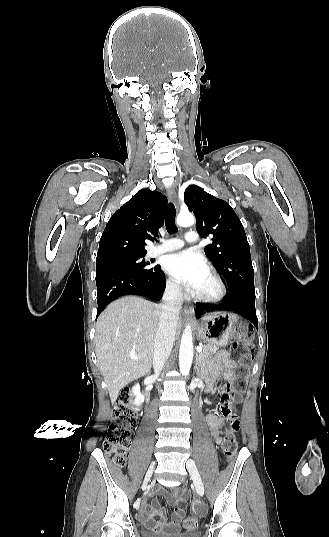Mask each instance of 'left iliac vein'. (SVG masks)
Returning <instances> with one entry per match:
<instances>
[{"label":"left iliac vein","instance_id":"left-iliac-vein-1","mask_svg":"<svg viewBox=\"0 0 329 537\" xmlns=\"http://www.w3.org/2000/svg\"><path fill=\"white\" fill-rule=\"evenodd\" d=\"M187 469L190 473V476H191V479L194 483V486H195V489H196V492L200 495V496H203L204 494V485H203V482H202V479H201V476L199 474V471L195 465V462L192 460V459H189L187 461Z\"/></svg>","mask_w":329,"mask_h":537}]
</instances>
